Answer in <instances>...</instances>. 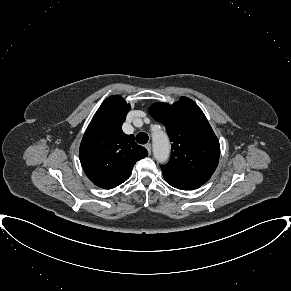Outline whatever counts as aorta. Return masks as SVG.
Wrapping results in <instances>:
<instances>
[{"label":"aorta","mask_w":291,"mask_h":291,"mask_svg":"<svg viewBox=\"0 0 291 291\" xmlns=\"http://www.w3.org/2000/svg\"><path fill=\"white\" fill-rule=\"evenodd\" d=\"M153 154L156 160L164 163L170 155V142L167 134L162 130H157L152 135Z\"/></svg>","instance_id":"aorta-1"}]
</instances>
